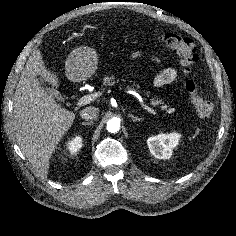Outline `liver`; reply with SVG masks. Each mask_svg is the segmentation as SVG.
<instances>
[{"label": "liver", "instance_id": "1", "mask_svg": "<svg viewBox=\"0 0 236 236\" xmlns=\"http://www.w3.org/2000/svg\"><path fill=\"white\" fill-rule=\"evenodd\" d=\"M37 76L58 87L56 74L46 68L41 52L34 50L16 87L13 104L14 130L22 153L40 177L46 178L51 155L71 127L75 113L61 107L44 90Z\"/></svg>", "mask_w": 236, "mask_h": 236}]
</instances>
